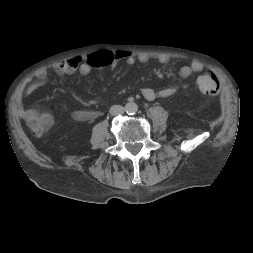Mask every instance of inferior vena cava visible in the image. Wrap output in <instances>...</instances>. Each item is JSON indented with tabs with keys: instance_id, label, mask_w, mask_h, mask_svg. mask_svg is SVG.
Here are the masks:
<instances>
[{
	"instance_id": "obj_1",
	"label": "inferior vena cava",
	"mask_w": 253,
	"mask_h": 253,
	"mask_svg": "<svg viewBox=\"0 0 253 253\" xmlns=\"http://www.w3.org/2000/svg\"><path fill=\"white\" fill-rule=\"evenodd\" d=\"M125 112V108L121 105H113L110 107V114L115 115H121Z\"/></svg>"
}]
</instances>
